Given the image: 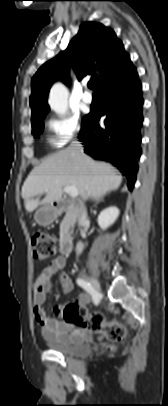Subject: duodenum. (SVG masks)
<instances>
[{
	"label": "duodenum",
	"mask_w": 168,
	"mask_h": 406,
	"mask_svg": "<svg viewBox=\"0 0 168 406\" xmlns=\"http://www.w3.org/2000/svg\"><path fill=\"white\" fill-rule=\"evenodd\" d=\"M53 209L56 213H70L72 218L77 216L79 213L77 204L72 201L67 200H57L54 201ZM73 249V235L71 232L67 231L64 233L60 240V250L64 256L70 255Z\"/></svg>",
	"instance_id": "1"
}]
</instances>
